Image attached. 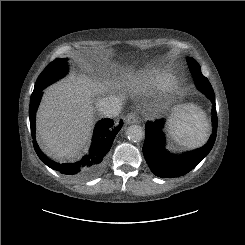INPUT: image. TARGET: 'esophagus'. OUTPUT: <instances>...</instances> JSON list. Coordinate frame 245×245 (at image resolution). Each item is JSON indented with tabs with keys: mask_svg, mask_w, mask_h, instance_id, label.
<instances>
[{
	"mask_svg": "<svg viewBox=\"0 0 245 245\" xmlns=\"http://www.w3.org/2000/svg\"><path fill=\"white\" fill-rule=\"evenodd\" d=\"M124 121L126 124H129V125L135 124L138 122V116L135 113L131 112L125 116Z\"/></svg>",
	"mask_w": 245,
	"mask_h": 245,
	"instance_id": "1",
	"label": "esophagus"
}]
</instances>
